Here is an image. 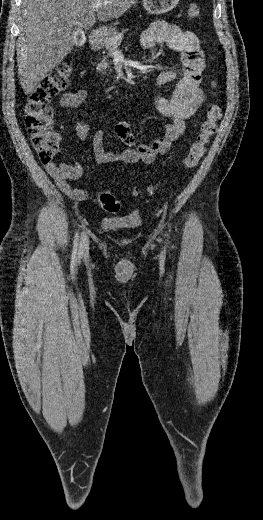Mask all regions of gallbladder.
<instances>
[{"label": "gallbladder", "mask_w": 263, "mask_h": 520, "mask_svg": "<svg viewBox=\"0 0 263 520\" xmlns=\"http://www.w3.org/2000/svg\"><path fill=\"white\" fill-rule=\"evenodd\" d=\"M77 33V28H73L72 31H71V35L72 37H74Z\"/></svg>", "instance_id": "obj_1"}]
</instances>
